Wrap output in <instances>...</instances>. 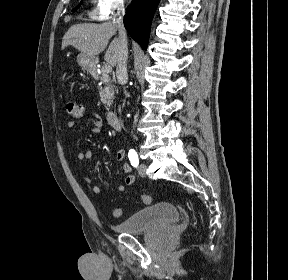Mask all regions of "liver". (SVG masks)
<instances>
[{"label": "liver", "mask_w": 288, "mask_h": 280, "mask_svg": "<svg viewBox=\"0 0 288 280\" xmlns=\"http://www.w3.org/2000/svg\"><path fill=\"white\" fill-rule=\"evenodd\" d=\"M117 28L110 22L102 24L81 23L73 25L65 33L62 49L72 45L81 53L95 57L105 50L110 38L115 35ZM120 48L119 38H115L109 45L104 59L111 66H116Z\"/></svg>", "instance_id": "1"}]
</instances>
